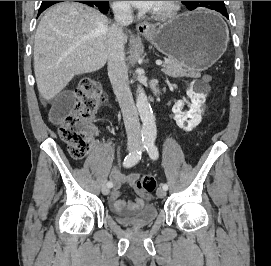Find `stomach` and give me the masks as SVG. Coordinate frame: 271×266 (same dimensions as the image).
<instances>
[{
  "mask_svg": "<svg viewBox=\"0 0 271 266\" xmlns=\"http://www.w3.org/2000/svg\"><path fill=\"white\" fill-rule=\"evenodd\" d=\"M144 37L167 57L187 65L189 73L212 66L229 42L228 28L220 16L202 10L179 15Z\"/></svg>",
  "mask_w": 271,
  "mask_h": 266,
  "instance_id": "obj_1",
  "label": "stomach"
}]
</instances>
